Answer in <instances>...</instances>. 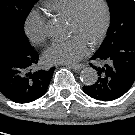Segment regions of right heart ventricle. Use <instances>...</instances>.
Here are the masks:
<instances>
[{"label": "right heart ventricle", "instance_id": "e07e8e85", "mask_svg": "<svg viewBox=\"0 0 135 135\" xmlns=\"http://www.w3.org/2000/svg\"><path fill=\"white\" fill-rule=\"evenodd\" d=\"M80 0H49L46 7L57 15L69 18Z\"/></svg>", "mask_w": 135, "mask_h": 135}]
</instances>
